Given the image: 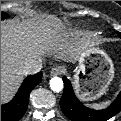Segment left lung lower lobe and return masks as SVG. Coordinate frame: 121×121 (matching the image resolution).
<instances>
[{
    "label": "left lung lower lobe",
    "instance_id": "1",
    "mask_svg": "<svg viewBox=\"0 0 121 121\" xmlns=\"http://www.w3.org/2000/svg\"><path fill=\"white\" fill-rule=\"evenodd\" d=\"M121 38V33L117 32ZM64 91L60 99V106L63 113L72 121H106L121 111V92L115 101L106 109L94 110L80 103L75 96L70 81L63 77Z\"/></svg>",
    "mask_w": 121,
    "mask_h": 121
}]
</instances>
